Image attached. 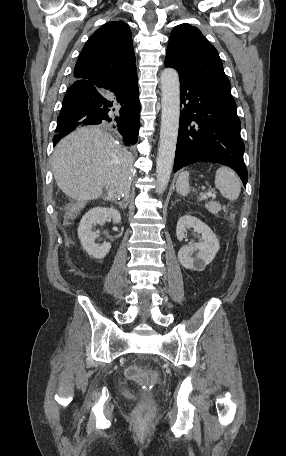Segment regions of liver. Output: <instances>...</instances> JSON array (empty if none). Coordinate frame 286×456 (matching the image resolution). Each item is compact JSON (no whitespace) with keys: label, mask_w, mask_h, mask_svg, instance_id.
I'll list each match as a JSON object with an SVG mask.
<instances>
[{"label":"liver","mask_w":286,"mask_h":456,"mask_svg":"<svg viewBox=\"0 0 286 456\" xmlns=\"http://www.w3.org/2000/svg\"><path fill=\"white\" fill-rule=\"evenodd\" d=\"M131 165V155L96 127L71 133L56 146L52 156L58 188L82 203L98 199L104 187L112 197H121L129 190Z\"/></svg>","instance_id":"liver-1"}]
</instances>
